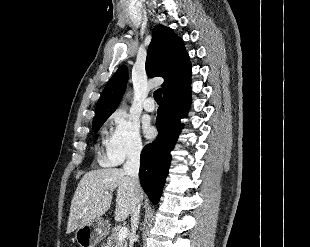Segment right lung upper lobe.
I'll return each mask as SVG.
<instances>
[{"label":"right lung upper lobe","instance_id":"right-lung-upper-lobe-1","mask_svg":"<svg viewBox=\"0 0 310 247\" xmlns=\"http://www.w3.org/2000/svg\"><path fill=\"white\" fill-rule=\"evenodd\" d=\"M146 72L149 77L161 76L163 95L191 82V65L183 41L172 29L158 25L153 29L148 47ZM128 80L126 66H120L105 86L96 105L93 122L109 117L117 108Z\"/></svg>","mask_w":310,"mask_h":247}]
</instances>
